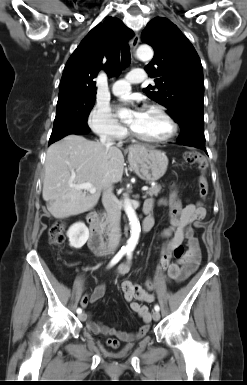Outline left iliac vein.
Here are the masks:
<instances>
[{"instance_id": "left-iliac-vein-1", "label": "left iliac vein", "mask_w": 247, "mask_h": 385, "mask_svg": "<svg viewBox=\"0 0 247 385\" xmlns=\"http://www.w3.org/2000/svg\"><path fill=\"white\" fill-rule=\"evenodd\" d=\"M152 317L154 321H158L160 319V313L158 311H154Z\"/></svg>"}]
</instances>
